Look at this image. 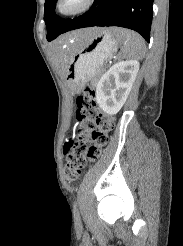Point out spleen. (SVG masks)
<instances>
[{
    "label": "spleen",
    "instance_id": "1",
    "mask_svg": "<svg viewBox=\"0 0 183 246\" xmlns=\"http://www.w3.org/2000/svg\"><path fill=\"white\" fill-rule=\"evenodd\" d=\"M115 37L118 43L122 44L121 54L123 57L143 59L146 52L144 39L138 34L128 29L115 28ZM93 57V55L91 56ZM85 58V61L91 59Z\"/></svg>",
    "mask_w": 183,
    "mask_h": 246
}]
</instances>
